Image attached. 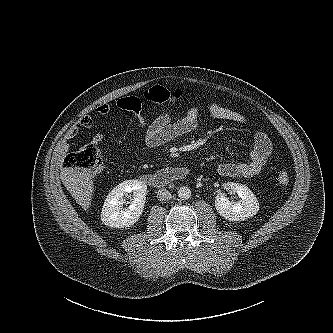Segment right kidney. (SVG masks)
<instances>
[{
	"instance_id": "right-kidney-1",
	"label": "right kidney",
	"mask_w": 333,
	"mask_h": 333,
	"mask_svg": "<svg viewBox=\"0 0 333 333\" xmlns=\"http://www.w3.org/2000/svg\"><path fill=\"white\" fill-rule=\"evenodd\" d=\"M133 192L128 208H124V196ZM147 186L139 180H126L117 185L105 199L101 212L102 222L113 228H127L134 225L143 213Z\"/></svg>"
}]
</instances>
